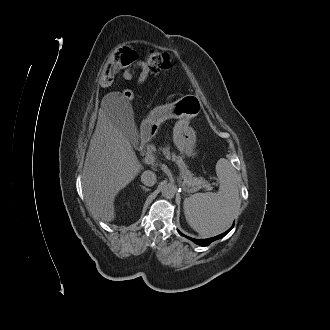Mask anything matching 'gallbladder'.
<instances>
[{
  "label": "gallbladder",
  "mask_w": 330,
  "mask_h": 330,
  "mask_svg": "<svg viewBox=\"0 0 330 330\" xmlns=\"http://www.w3.org/2000/svg\"><path fill=\"white\" fill-rule=\"evenodd\" d=\"M114 112L119 121V127L122 128L127 138L132 140L136 134V125L131 104L128 102H121L114 107Z\"/></svg>",
  "instance_id": "1"
}]
</instances>
